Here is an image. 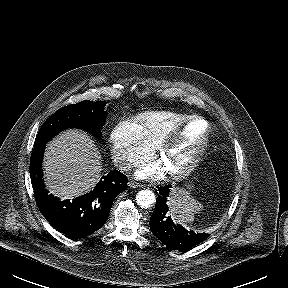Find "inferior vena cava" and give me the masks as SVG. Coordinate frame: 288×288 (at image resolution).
I'll list each match as a JSON object with an SVG mask.
<instances>
[{"label": "inferior vena cava", "instance_id": "inferior-vena-cava-1", "mask_svg": "<svg viewBox=\"0 0 288 288\" xmlns=\"http://www.w3.org/2000/svg\"><path fill=\"white\" fill-rule=\"evenodd\" d=\"M116 166L120 169V170H129L130 168H132V163L128 162V161H118L116 162Z\"/></svg>", "mask_w": 288, "mask_h": 288}]
</instances>
